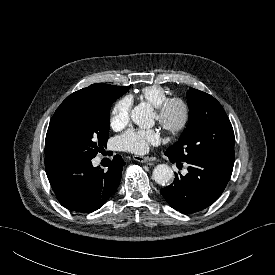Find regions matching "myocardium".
I'll use <instances>...</instances> for the list:
<instances>
[{
  "instance_id": "1",
  "label": "myocardium",
  "mask_w": 275,
  "mask_h": 275,
  "mask_svg": "<svg viewBox=\"0 0 275 275\" xmlns=\"http://www.w3.org/2000/svg\"><path fill=\"white\" fill-rule=\"evenodd\" d=\"M178 116L174 119L173 115ZM192 110L189 102L183 97H168L162 104L156 107V119L164 130L171 134L183 132L190 124Z\"/></svg>"
}]
</instances>
